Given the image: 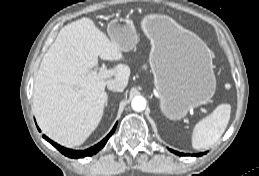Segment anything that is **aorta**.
<instances>
[{"label":"aorta","mask_w":259,"mask_h":176,"mask_svg":"<svg viewBox=\"0 0 259 176\" xmlns=\"http://www.w3.org/2000/svg\"><path fill=\"white\" fill-rule=\"evenodd\" d=\"M146 107V101L142 97H134L131 101V108L135 112H141Z\"/></svg>","instance_id":"762f6f07"}]
</instances>
